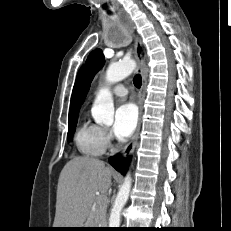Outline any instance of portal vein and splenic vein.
Wrapping results in <instances>:
<instances>
[{"label":"portal vein and splenic vein","mask_w":231,"mask_h":231,"mask_svg":"<svg viewBox=\"0 0 231 231\" xmlns=\"http://www.w3.org/2000/svg\"><path fill=\"white\" fill-rule=\"evenodd\" d=\"M106 198L103 196H100L99 198H97V203L102 204L103 202H105Z\"/></svg>","instance_id":"18ae733b"}]
</instances>
